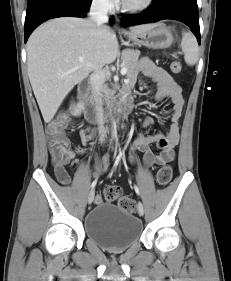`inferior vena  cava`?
Listing matches in <instances>:
<instances>
[{
  "instance_id": "1",
  "label": "inferior vena cava",
  "mask_w": 231,
  "mask_h": 281,
  "mask_svg": "<svg viewBox=\"0 0 231 281\" xmlns=\"http://www.w3.org/2000/svg\"><path fill=\"white\" fill-rule=\"evenodd\" d=\"M109 0H93L90 7V20L97 26H102L108 22ZM93 96L96 101L97 121L99 125L100 141L105 139L106 130L104 127L103 108L101 105V88L103 82V74L96 69L90 77Z\"/></svg>"
}]
</instances>
